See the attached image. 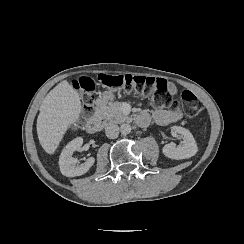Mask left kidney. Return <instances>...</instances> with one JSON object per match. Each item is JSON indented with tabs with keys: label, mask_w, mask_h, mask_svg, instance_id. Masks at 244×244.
<instances>
[{
	"label": "left kidney",
	"mask_w": 244,
	"mask_h": 244,
	"mask_svg": "<svg viewBox=\"0 0 244 244\" xmlns=\"http://www.w3.org/2000/svg\"><path fill=\"white\" fill-rule=\"evenodd\" d=\"M172 130L182 136L183 145L169 143L162 148V153L165 157L173 160L188 159L195 156L198 152L197 143L188 129L183 127H172Z\"/></svg>",
	"instance_id": "obj_1"
}]
</instances>
